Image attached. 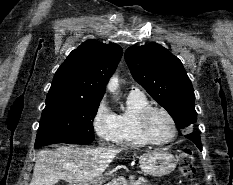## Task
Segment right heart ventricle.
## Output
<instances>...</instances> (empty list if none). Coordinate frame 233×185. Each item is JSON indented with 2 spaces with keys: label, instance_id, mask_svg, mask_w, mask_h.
Returning <instances> with one entry per match:
<instances>
[{
  "label": "right heart ventricle",
  "instance_id": "right-heart-ventricle-1",
  "mask_svg": "<svg viewBox=\"0 0 233 185\" xmlns=\"http://www.w3.org/2000/svg\"><path fill=\"white\" fill-rule=\"evenodd\" d=\"M150 103L144 94L130 93L127 97V108L116 115L117 136L119 145L142 147L148 143L143 139L138 128V116Z\"/></svg>",
  "mask_w": 233,
  "mask_h": 185
}]
</instances>
